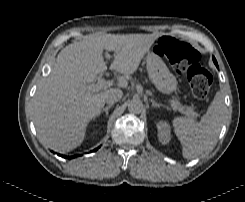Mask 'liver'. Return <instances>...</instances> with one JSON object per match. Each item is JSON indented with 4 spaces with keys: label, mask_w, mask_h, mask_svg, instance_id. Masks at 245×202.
<instances>
[{
    "label": "liver",
    "mask_w": 245,
    "mask_h": 202,
    "mask_svg": "<svg viewBox=\"0 0 245 202\" xmlns=\"http://www.w3.org/2000/svg\"><path fill=\"white\" fill-rule=\"evenodd\" d=\"M156 38L153 34L95 33L63 48L35 93L33 117L39 140L61 153L78 147L109 91L85 89L107 69L104 49L115 52L111 68L123 74L118 78V87L126 88L128 77L138 69Z\"/></svg>",
    "instance_id": "liver-1"
}]
</instances>
